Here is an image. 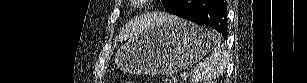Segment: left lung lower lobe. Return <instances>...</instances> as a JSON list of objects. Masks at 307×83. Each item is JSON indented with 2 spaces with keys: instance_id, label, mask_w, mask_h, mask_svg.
<instances>
[{
  "instance_id": "obj_1",
  "label": "left lung lower lobe",
  "mask_w": 307,
  "mask_h": 83,
  "mask_svg": "<svg viewBox=\"0 0 307 83\" xmlns=\"http://www.w3.org/2000/svg\"><path fill=\"white\" fill-rule=\"evenodd\" d=\"M170 14L198 25H209L227 37V3L225 0H174Z\"/></svg>"
}]
</instances>
